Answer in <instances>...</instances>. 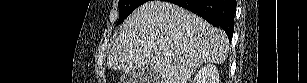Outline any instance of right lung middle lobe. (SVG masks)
<instances>
[{"instance_id":"right-lung-middle-lobe-1","label":"right lung middle lobe","mask_w":307,"mask_h":83,"mask_svg":"<svg viewBox=\"0 0 307 83\" xmlns=\"http://www.w3.org/2000/svg\"><path fill=\"white\" fill-rule=\"evenodd\" d=\"M147 2V0H119V13L120 17L118 24L123 22V20L137 7Z\"/></svg>"}]
</instances>
